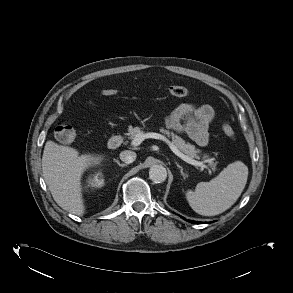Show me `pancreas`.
Returning a JSON list of instances; mask_svg holds the SVG:
<instances>
[{
  "instance_id": "pancreas-1",
  "label": "pancreas",
  "mask_w": 293,
  "mask_h": 293,
  "mask_svg": "<svg viewBox=\"0 0 293 293\" xmlns=\"http://www.w3.org/2000/svg\"><path fill=\"white\" fill-rule=\"evenodd\" d=\"M139 132L143 133L142 128L129 126L127 135L130 139H134ZM160 132L170 137L172 139V143L188 157L199 158L198 153H200V150L196 149L194 145L185 142V140H183L180 136L172 131L164 129L163 127L160 128ZM206 157L207 156H205V158ZM207 161H209L210 164L213 163L211 160Z\"/></svg>"
}]
</instances>
